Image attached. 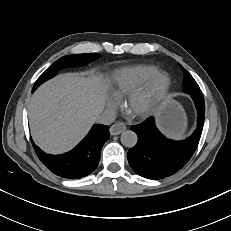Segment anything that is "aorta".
Here are the masks:
<instances>
[{"label":"aorta","mask_w":231,"mask_h":231,"mask_svg":"<svg viewBox=\"0 0 231 231\" xmlns=\"http://www.w3.org/2000/svg\"><path fill=\"white\" fill-rule=\"evenodd\" d=\"M138 137L134 131L126 130L121 134V143L125 147H134L137 143Z\"/></svg>","instance_id":"1"}]
</instances>
